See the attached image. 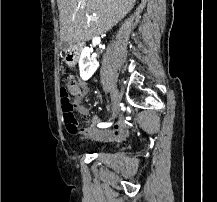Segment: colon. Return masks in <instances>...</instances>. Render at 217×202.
Returning a JSON list of instances; mask_svg holds the SVG:
<instances>
[{
  "label": "colon",
  "mask_w": 217,
  "mask_h": 202,
  "mask_svg": "<svg viewBox=\"0 0 217 202\" xmlns=\"http://www.w3.org/2000/svg\"><path fill=\"white\" fill-rule=\"evenodd\" d=\"M61 55H68V50H61ZM70 73H63V78H70ZM72 90L69 86H65L61 89V98L63 101V112H64V119L67 127V131L71 134H76L80 131L78 127V121L75 117V104L73 102L72 96L70 95Z\"/></svg>",
  "instance_id": "obj_1"
}]
</instances>
